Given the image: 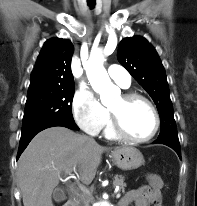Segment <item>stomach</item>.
<instances>
[{"label":"stomach","mask_w":197,"mask_h":206,"mask_svg":"<svg viewBox=\"0 0 197 206\" xmlns=\"http://www.w3.org/2000/svg\"><path fill=\"white\" fill-rule=\"evenodd\" d=\"M113 162L122 170L137 169L145 163L142 153L134 147H123L111 152Z\"/></svg>","instance_id":"obj_1"}]
</instances>
